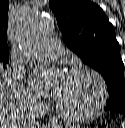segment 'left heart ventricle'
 <instances>
[{"instance_id": "left-heart-ventricle-1", "label": "left heart ventricle", "mask_w": 125, "mask_h": 128, "mask_svg": "<svg viewBox=\"0 0 125 128\" xmlns=\"http://www.w3.org/2000/svg\"><path fill=\"white\" fill-rule=\"evenodd\" d=\"M98 97L99 87L92 77L67 74L56 102L68 112H81L94 106Z\"/></svg>"}]
</instances>
